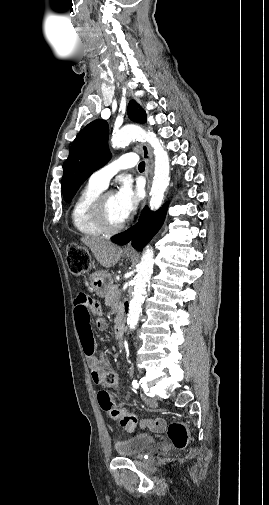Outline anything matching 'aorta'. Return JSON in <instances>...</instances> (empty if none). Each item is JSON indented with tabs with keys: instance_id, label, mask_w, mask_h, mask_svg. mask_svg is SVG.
Listing matches in <instances>:
<instances>
[{
	"instance_id": "1",
	"label": "aorta",
	"mask_w": 269,
	"mask_h": 505,
	"mask_svg": "<svg viewBox=\"0 0 269 505\" xmlns=\"http://www.w3.org/2000/svg\"><path fill=\"white\" fill-rule=\"evenodd\" d=\"M134 139H140L148 142L153 148L155 156V168L150 191V207L152 210H158L164 200L165 192L169 185L170 163L167 151L161 140L154 132L146 131L140 126L129 125L123 127L117 133L113 134L111 142L113 147H122L129 144ZM153 249L148 246L145 248L138 265L137 275L135 277L134 291L129 304L127 323L131 330H134L142 311V304L146 294V288L150 282L153 273Z\"/></svg>"
}]
</instances>
